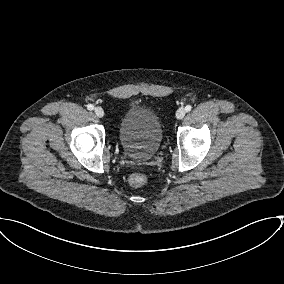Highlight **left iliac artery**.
<instances>
[{"label":"left iliac artery","instance_id":"1","mask_svg":"<svg viewBox=\"0 0 284 284\" xmlns=\"http://www.w3.org/2000/svg\"><path fill=\"white\" fill-rule=\"evenodd\" d=\"M191 109H192V106H191V105H187V106L185 107L186 112L191 111Z\"/></svg>","mask_w":284,"mask_h":284}]
</instances>
